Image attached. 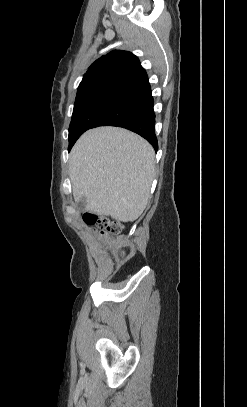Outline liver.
I'll list each match as a JSON object with an SVG mask.
<instances>
[{
  "instance_id": "liver-1",
  "label": "liver",
  "mask_w": 247,
  "mask_h": 407,
  "mask_svg": "<svg viewBox=\"0 0 247 407\" xmlns=\"http://www.w3.org/2000/svg\"><path fill=\"white\" fill-rule=\"evenodd\" d=\"M152 146L118 127L88 130L75 143L69 176L76 202L85 211L122 222L136 220L146 208L154 178Z\"/></svg>"
}]
</instances>
